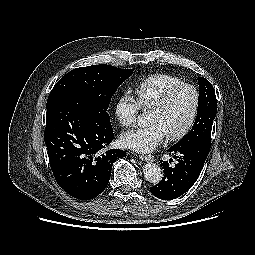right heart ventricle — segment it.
Segmentation results:
<instances>
[{"label":"right heart ventricle","instance_id":"e07e8e85","mask_svg":"<svg viewBox=\"0 0 255 255\" xmlns=\"http://www.w3.org/2000/svg\"><path fill=\"white\" fill-rule=\"evenodd\" d=\"M182 81L170 74H154L139 82L135 87L136 100L143 110L154 106L164 93Z\"/></svg>","mask_w":255,"mask_h":255}]
</instances>
